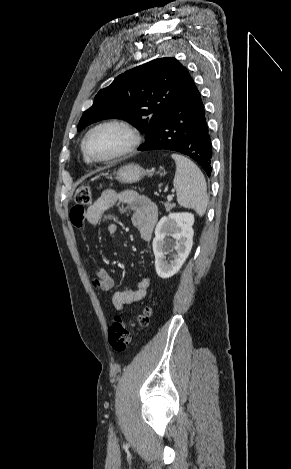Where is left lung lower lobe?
Wrapping results in <instances>:
<instances>
[{
    "mask_svg": "<svg viewBox=\"0 0 291 469\" xmlns=\"http://www.w3.org/2000/svg\"><path fill=\"white\" fill-rule=\"evenodd\" d=\"M152 149L185 154L195 160L208 176L211 175V137L201 95L192 79L146 143L138 148L140 151Z\"/></svg>",
    "mask_w": 291,
    "mask_h": 469,
    "instance_id": "left-lung-lower-lobe-1",
    "label": "left lung lower lobe"
}]
</instances>
